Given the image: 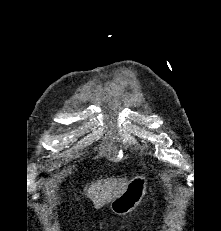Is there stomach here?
I'll return each mask as SVG.
<instances>
[{
    "label": "stomach",
    "instance_id": "stomach-1",
    "mask_svg": "<svg viewBox=\"0 0 221 231\" xmlns=\"http://www.w3.org/2000/svg\"><path fill=\"white\" fill-rule=\"evenodd\" d=\"M147 179L135 176L130 180L123 194L110 202V209L118 215H126L133 211L146 194Z\"/></svg>",
    "mask_w": 221,
    "mask_h": 231
}]
</instances>
